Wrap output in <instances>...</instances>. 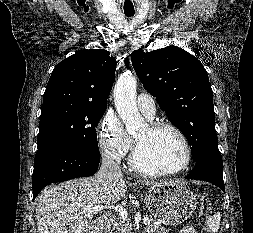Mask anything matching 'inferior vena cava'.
I'll return each instance as SVG.
<instances>
[{
	"instance_id": "obj_1",
	"label": "inferior vena cava",
	"mask_w": 253,
	"mask_h": 233,
	"mask_svg": "<svg viewBox=\"0 0 253 233\" xmlns=\"http://www.w3.org/2000/svg\"><path fill=\"white\" fill-rule=\"evenodd\" d=\"M123 178L121 168L114 158L108 154L102 156V164L97 173V179L100 181H114Z\"/></svg>"
}]
</instances>
